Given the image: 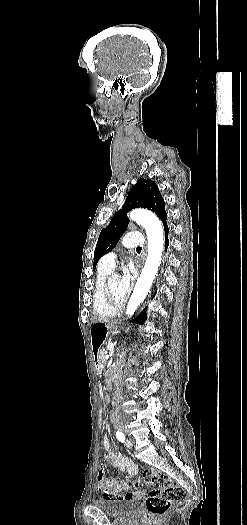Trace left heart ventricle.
Returning <instances> with one entry per match:
<instances>
[{
  "instance_id": "obj_1",
  "label": "left heart ventricle",
  "mask_w": 247,
  "mask_h": 525,
  "mask_svg": "<svg viewBox=\"0 0 247 525\" xmlns=\"http://www.w3.org/2000/svg\"><path fill=\"white\" fill-rule=\"evenodd\" d=\"M122 269H143L145 267L151 269L152 267V264H136L135 262H133L131 259H130V256L127 255L124 257L123 261H122ZM119 283H120V279L118 277H114L112 280H111V284H110V291L112 294H114L115 296H118V286H119ZM120 299V298H119Z\"/></svg>"
}]
</instances>
